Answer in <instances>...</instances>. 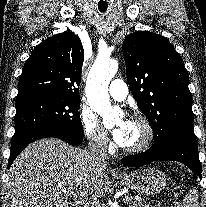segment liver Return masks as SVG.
Wrapping results in <instances>:
<instances>
[{
	"mask_svg": "<svg viewBox=\"0 0 206 207\" xmlns=\"http://www.w3.org/2000/svg\"><path fill=\"white\" fill-rule=\"evenodd\" d=\"M105 161L94 162L86 149L45 138L28 145L9 170L11 207H68L69 196L84 202L110 187Z\"/></svg>",
	"mask_w": 206,
	"mask_h": 207,
	"instance_id": "liver-1",
	"label": "liver"
}]
</instances>
